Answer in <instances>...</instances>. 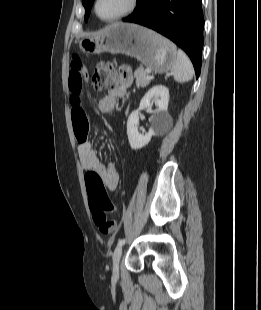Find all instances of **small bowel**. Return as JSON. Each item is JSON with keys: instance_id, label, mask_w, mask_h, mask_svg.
Listing matches in <instances>:
<instances>
[{"instance_id": "small-bowel-1", "label": "small bowel", "mask_w": 261, "mask_h": 310, "mask_svg": "<svg viewBox=\"0 0 261 310\" xmlns=\"http://www.w3.org/2000/svg\"><path fill=\"white\" fill-rule=\"evenodd\" d=\"M85 67L78 56H72L69 72V90L71 92V115L76 139L78 141V155L84 170L95 171L103 179L110 191L117 189L119 175L113 163L104 165L100 162L97 152L87 139L88 120L82 107L80 94L86 80ZM133 81L132 72L129 67L122 66L119 69V83L111 87L106 96L99 102L102 112L111 111L118 99L126 96Z\"/></svg>"}]
</instances>
